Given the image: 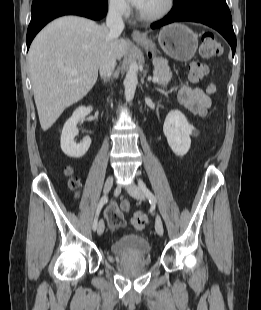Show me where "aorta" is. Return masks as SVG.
Listing matches in <instances>:
<instances>
[{"label":"aorta","instance_id":"aorta-1","mask_svg":"<svg viewBox=\"0 0 261 310\" xmlns=\"http://www.w3.org/2000/svg\"><path fill=\"white\" fill-rule=\"evenodd\" d=\"M138 65L134 62L131 63L129 69L127 71L126 77L124 79V87H125V99L127 102L133 100L136 86L138 84Z\"/></svg>","mask_w":261,"mask_h":310}]
</instances>
